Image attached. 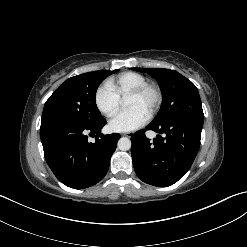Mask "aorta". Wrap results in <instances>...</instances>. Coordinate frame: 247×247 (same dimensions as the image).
I'll use <instances>...</instances> for the list:
<instances>
[{"mask_svg": "<svg viewBox=\"0 0 247 247\" xmlns=\"http://www.w3.org/2000/svg\"><path fill=\"white\" fill-rule=\"evenodd\" d=\"M118 148L122 151H127L131 148V140L127 137H121L118 140Z\"/></svg>", "mask_w": 247, "mask_h": 247, "instance_id": "762f6f07", "label": "aorta"}]
</instances>
